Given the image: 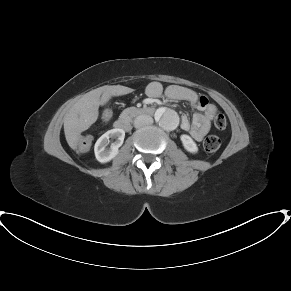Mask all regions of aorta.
I'll return each instance as SVG.
<instances>
[{
	"mask_svg": "<svg viewBox=\"0 0 291 291\" xmlns=\"http://www.w3.org/2000/svg\"><path fill=\"white\" fill-rule=\"evenodd\" d=\"M159 125L164 130H174L178 126V117L172 111H164L157 115Z\"/></svg>",
	"mask_w": 291,
	"mask_h": 291,
	"instance_id": "obj_1",
	"label": "aorta"
}]
</instances>
